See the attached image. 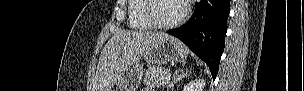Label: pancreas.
I'll return each mask as SVG.
<instances>
[{
    "mask_svg": "<svg viewBox=\"0 0 304 91\" xmlns=\"http://www.w3.org/2000/svg\"><path fill=\"white\" fill-rule=\"evenodd\" d=\"M170 71L161 66L149 67L144 76V84L147 87H159L164 85L165 77Z\"/></svg>",
    "mask_w": 304,
    "mask_h": 91,
    "instance_id": "cf45deb5",
    "label": "pancreas"
}]
</instances>
